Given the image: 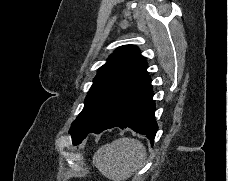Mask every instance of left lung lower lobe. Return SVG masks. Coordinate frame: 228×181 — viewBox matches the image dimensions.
Masks as SVG:
<instances>
[{"label":"left lung lower lobe","mask_w":228,"mask_h":181,"mask_svg":"<svg viewBox=\"0 0 228 181\" xmlns=\"http://www.w3.org/2000/svg\"><path fill=\"white\" fill-rule=\"evenodd\" d=\"M154 113L155 103L153 100L151 79L147 75L133 92L127 108L118 123L106 128H94L78 132L72 136L73 142L75 145L80 144L82 140L87 137L88 133L99 134L102 131L113 127H129L135 132L146 135L150 140V143L153 145L154 137L158 130Z\"/></svg>","instance_id":"left-lung-lower-lobe-1"}]
</instances>
